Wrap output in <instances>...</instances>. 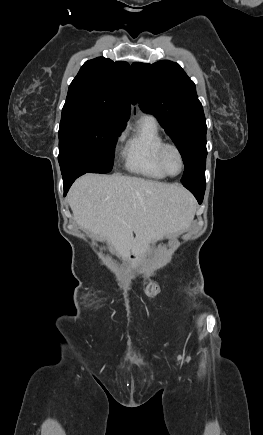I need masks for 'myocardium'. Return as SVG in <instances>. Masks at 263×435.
<instances>
[{"label": "myocardium", "instance_id": "f54148a6", "mask_svg": "<svg viewBox=\"0 0 263 435\" xmlns=\"http://www.w3.org/2000/svg\"><path fill=\"white\" fill-rule=\"evenodd\" d=\"M168 149L175 150L180 158L181 168H180V171L176 174L170 173L167 170L165 163H164V155ZM157 163H158V166L160 167V169L162 170V172L166 176H169V177H176V176L182 174L184 169H185L184 154H183L181 148L177 144L172 143V142H164L161 144V146L159 147L158 152H157Z\"/></svg>", "mask_w": 263, "mask_h": 435}]
</instances>
